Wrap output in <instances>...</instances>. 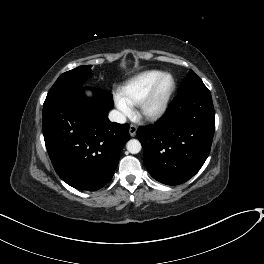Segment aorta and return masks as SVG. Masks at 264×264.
I'll return each mask as SVG.
<instances>
[{"instance_id": "1", "label": "aorta", "mask_w": 264, "mask_h": 264, "mask_svg": "<svg viewBox=\"0 0 264 264\" xmlns=\"http://www.w3.org/2000/svg\"><path fill=\"white\" fill-rule=\"evenodd\" d=\"M126 148L129 153L137 154L141 151V143L137 139H131L127 142Z\"/></svg>"}]
</instances>
